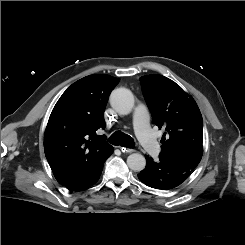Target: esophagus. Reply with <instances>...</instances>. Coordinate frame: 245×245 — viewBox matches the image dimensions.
<instances>
[{
	"label": "esophagus",
	"instance_id": "obj_1",
	"mask_svg": "<svg viewBox=\"0 0 245 245\" xmlns=\"http://www.w3.org/2000/svg\"><path fill=\"white\" fill-rule=\"evenodd\" d=\"M120 150L123 152V153H132L134 152V149H131V148H126V147H119Z\"/></svg>",
	"mask_w": 245,
	"mask_h": 245
}]
</instances>
